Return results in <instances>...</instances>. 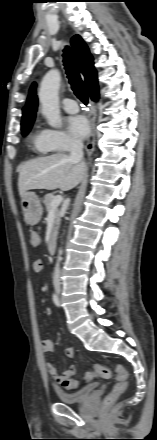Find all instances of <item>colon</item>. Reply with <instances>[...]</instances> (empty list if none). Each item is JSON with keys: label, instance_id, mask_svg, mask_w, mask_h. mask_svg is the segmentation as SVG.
<instances>
[{"label": "colon", "instance_id": "5ec220e1", "mask_svg": "<svg viewBox=\"0 0 157 440\" xmlns=\"http://www.w3.org/2000/svg\"><path fill=\"white\" fill-rule=\"evenodd\" d=\"M29 242L33 248L39 247L41 243V238L39 234L37 232H31ZM33 266L37 269H40L43 267V262L41 260H36ZM110 374L111 371L108 367L101 364H96L93 366V369L91 371L85 374L83 381H88L90 379H93L94 377L107 378L110 376ZM115 375L116 383L113 386L111 392L103 400L104 406H109L114 403L116 399L127 389L129 378L128 372L122 366L118 365L115 368ZM81 383L82 381L70 377L64 380L62 385L68 390H73L78 388Z\"/></svg>", "mask_w": 157, "mask_h": 440}]
</instances>
